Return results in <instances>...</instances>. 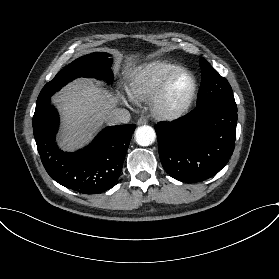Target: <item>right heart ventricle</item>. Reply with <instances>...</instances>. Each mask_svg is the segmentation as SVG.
Returning <instances> with one entry per match:
<instances>
[{
  "instance_id": "right-heart-ventricle-1",
  "label": "right heart ventricle",
  "mask_w": 279,
  "mask_h": 279,
  "mask_svg": "<svg viewBox=\"0 0 279 279\" xmlns=\"http://www.w3.org/2000/svg\"><path fill=\"white\" fill-rule=\"evenodd\" d=\"M183 69V65L170 61L145 63L131 73L127 90L141 100L150 99L168 77Z\"/></svg>"
}]
</instances>
